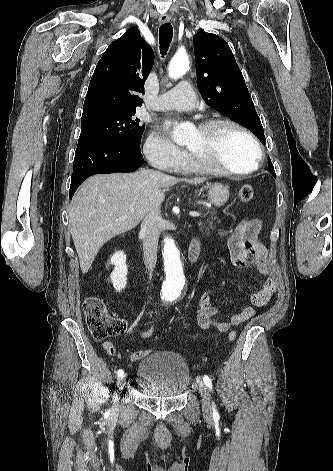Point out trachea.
Segmentation results:
<instances>
[{"instance_id": "1", "label": "trachea", "mask_w": 333, "mask_h": 471, "mask_svg": "<svg viewBox=\"0 0 333 471\" xmlns=\"http://www.w3.org/2000/svg\"><path fill=\"white\" fill-rule=\"evenodd\" d=\"M173 28L170 23H165L159 28V43H160V53L164 56L168 51L170 43L172 41Z\"/></svg>"}]
</instances>
